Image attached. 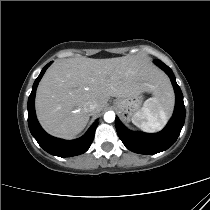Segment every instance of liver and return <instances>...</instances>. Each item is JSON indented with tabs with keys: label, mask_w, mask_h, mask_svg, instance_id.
Here are the masks:
<instances>
[{
	"label": "liver",
	"mask_w": 210,
	"mask_h": 210,
	"mask_svg": "<svg viewBox=\"0 0 210 210\" xmlns=\"http://www.w3.org/2000/svg\"><path fill=\"white\" fill-rule=\"evenodd\" d=\"M143 92L173 98L168 78L147 59L69 58L46 71L37 88L35 108L48 133L71 138L83 131L90 115L104 109L110 97L126 98ZM93 101L97 109L90 113L88 104Z\"/></svg>",
	"instance_id": "liver-1"
}]
</instances>
